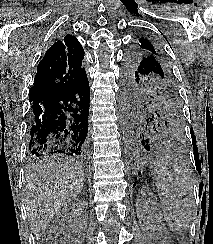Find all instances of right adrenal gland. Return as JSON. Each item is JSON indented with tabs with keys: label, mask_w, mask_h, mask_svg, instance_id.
I'll return each mask as SVG.
<instances>
[{
	"label": "right adrenal gland",
	"mask_w": 213,
	"mask_h": 244,
	"mask_svg": "<svg viewBox=\"0 0 213 244\" xmlns=\"http://www.w3.org/2000/svg\"><path fill=\"white\" fill-rule=\"evenodd\" d=\"M82 194H85L84 191H81Z\"/></svg>",
	"instance_id": "2a0ac1e0"
}]
</instances>
